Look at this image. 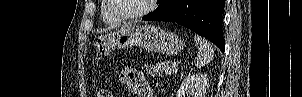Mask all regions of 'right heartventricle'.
Returning <instances> with one entry per match:
<instances>
[{
  "label": "right heart ventricle",
  "instance_id": "obj_1",
  "mask_svg": "<svg viewBox=\"0 0 302 97\" xmlns=\"http://www.w3.org/2000/svg\"><path fill=\"white\" fill-rule=\"evenodd\" d=\"M103 5L101 8V19L103 21L104 24L108 25V26H119L122 21L119 20L118 18H116L110 11L108 2L106 0L102 1Z\"/></svg>",
  "mask_w": 302,
  "mask_h": 97
}]
</instances>
